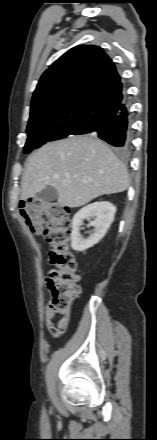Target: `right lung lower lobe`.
I'll return each mask as SVG.
<instances>
[{"label": "right lung lower lobe", "mask_w": 157, "mask_h": 440, "mask_svg": "<svg viewBox=\"0 0 157 440\" xmlns=\"http://www.w3.org/2000/svg\"><path fill=\"white\" fill-rule=\"evenodd\" d=\"M85 132H94L97 136L121 151H126L131 142V126L127 99L110 110L89 120Z\"/></svg>", "instance_id": "obj_1"}]
</instances>
